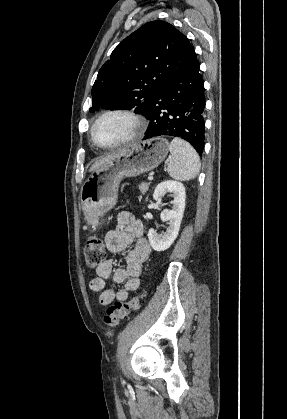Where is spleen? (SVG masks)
Segmentation results:
<instances>
[{
	"label": "spleen",
	"mask_w": 287,
	"mask_h": 419,
	"mask_svg": "<svg viewBox=\"0 0 287 419\" xmlns=\"http://www.w3.org/2000/svg\"><path fill=\"white\" fill-rule=\"evenodd\" d=\"M170 162L167 167L169 175L181 181L194 179L200 171V159L195 149L186 141L174 138L169 146Z\"/></svg>",
	"instance_id": "spleen-1"
}]
</instances>
